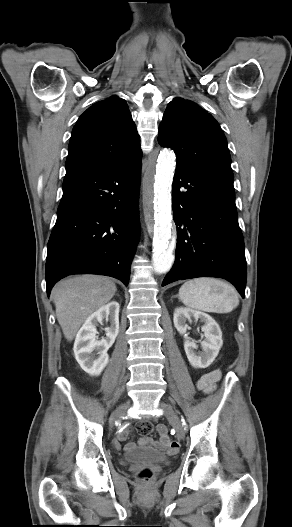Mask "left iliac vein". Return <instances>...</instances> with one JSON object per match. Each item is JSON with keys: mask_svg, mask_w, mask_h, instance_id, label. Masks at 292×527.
<instances>
[{"mask_svg": "<svg viewBox=\"0 0 292 527\" xmlns=\"http://www.w3.org/2000/svg\"><path fill=\"white\" fill-rule=\"evenodd\" d=\"M161 409L164 411V415L167 417V419L171 422L172 426L174 427L176 431V435L179 439H184L185 437V430L181 423L180 418L174 411L173 407L170 404L161 402L160 403Z\"/></svg>", "mask_w": 292, "mask_h": 527, "instance_id": "left-iliac-vein-1", "label": "left iliac vein"}]
</instances>
